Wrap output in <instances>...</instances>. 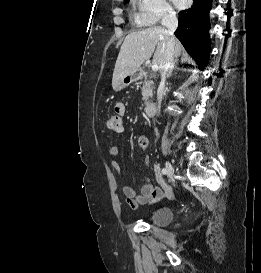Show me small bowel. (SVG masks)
Wrapping results in <instances>:
<instances>
[{
  "label": "small bowel",
  "mask_w": 261,
  "mask_h": 273,
  "mask_svg": "<svg viewBox=\"0 0 261 273\" xmlns=\"http://www.w3.org/2000/svg\"><path fill=\"white\" fill-rule=\"evenodd\" d=\"M115 114L123 117L126 113V106L124 103H117L114 108ZM124 127L122 124V128L117 132H123ZM149 141L145 135H140L138 137V145L141 151H145L148 147ZM119 152V148L117 146H112L109 149V154L112 157H115ZM110 165L112 170L117 175H122V166L121 164L115 159L112 158L110 160ZM159 179V174L156 175ZM123 195L129 207L133 210L137 209L139 205H147V204H154L162 200L165 193L159 188L154 187L151 182L149 181L148 177H145V183L141 188L140 194H136V191L130 186H123L122 188Z\"/></svg>",
  "instance_id": "small-bowel-1"
}]
</instances>
